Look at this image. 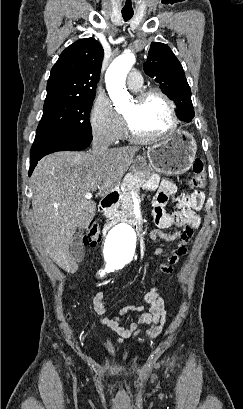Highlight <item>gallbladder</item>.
I'll return each mask as SVG.
<instances>
[{
	"label": "gallbladder",
	"mask_w": 243,
	"mask_h": 409,
	"mask_svg": "<svg viewBox=\"0 0 243 409\" xmlns=\"http://www.w3.org/2000/svg\"><path fill=\"white\" fill-rule=\"evenodd\" d=\"M70 250H71L72 256L75 259V261L81 262L82 256H83V247H82V236L80 232L75 234Z\"/></svg>",
	"instance_id": "1"
}]
</instances>
